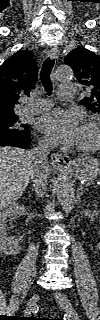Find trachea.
Returning a JSON list of instances; mask_svg holds the SVG:
<instances>
[{"label": "trachea", "mask_w": 100, "mask_h": 320, "mask_svg": "<svg viewBox=\"0 0 100 320\" xmlns=\"http://www.w3.org/2000/svg\"><path fill=\"white\" fill-rule=\"evenodd\" d=\"M54 66V59L47 58L41 68L40 72V78L41 83L45 89V91L50 95L52 93V82L50 80V74L52 71V68Z\"/></svg>", "instance_id": "obj_1"}]
</instances>
